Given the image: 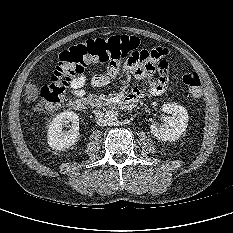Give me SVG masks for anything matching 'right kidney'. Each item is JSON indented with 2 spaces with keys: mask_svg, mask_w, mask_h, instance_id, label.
I'll return each mask as SVG.
<instances>
[{
  "mask_svg": "<svg viewBox=\"0 0 233 233\" xmlns=\"http://www.w3.org/2000/svg\"><path fill=\"white\" fill-rule=\"evenodd\" d=\"M72 122L71 125H68ZM70 126L71 129L63 131V128ZM79 138V117L73 111H64L58 114L48 127L47 140L51 148L56 150L68 149Z\"/></svg>",
  "mask_w": 233,
  "mask_h": 233,
  "instance_id": "right-kidney-1",
  "label": "right kidney"
}]
</instances>
